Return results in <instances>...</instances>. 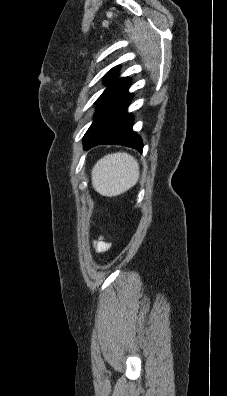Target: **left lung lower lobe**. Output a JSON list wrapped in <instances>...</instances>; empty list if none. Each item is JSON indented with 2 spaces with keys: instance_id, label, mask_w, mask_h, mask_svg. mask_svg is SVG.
I'll return each mask as SVG.
<instances>
[{
  "instance_id": "1",
  "label": "left lung lower lobe",
  "mask_w": 227,
  "mask_h": 396,
  "mask_svg": "<svg viewBox=\"0 0 227 396\" xmlns=\"http://www.w3.org/2000/svg\"><path fill=\"white\" fill-rule=\"evenodd\" d=\"M130 79L106 95L98 104L94 121L83 138L84 149L100 144L124 145L142 152L141 138L132 130L133 118L127 113L132 94Z\"/></svg>"
}]
</instances>
